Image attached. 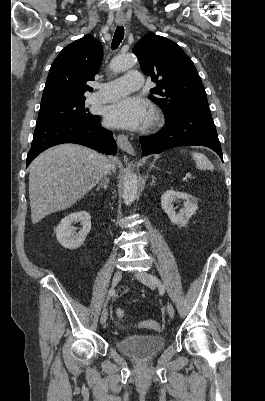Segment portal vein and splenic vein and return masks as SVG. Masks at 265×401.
Instances as JSON below:
<instances>
[{"instance_id": "1", "label": "portal vein and splenic vein", "mask_w": 265, "mask_h": 401, "mask_svg": "<svg viewBox=\"0 0 265 401\" xmlns=\"http://www.w3.org/2000/svg\"><path fill=\"white\" fill-rule=\"evenodd\" d=\"M190 176H191L190 172H187V174H185V178H186V179H189Z\"/></svg>"}]
</instances>
